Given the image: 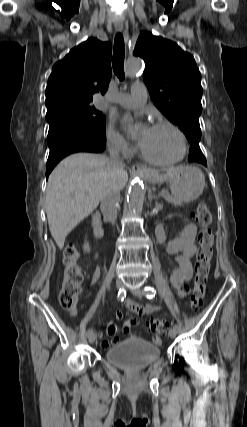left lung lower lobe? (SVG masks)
I'll return each instance as SVG.
<instances>
[{
	"label": "left lung lower lobe",
	"mask_w": 247,
	"mask_h": 427,
	"mask_svg": "<svg viewBox=\"0 0 247 427\" xmlns=\"http://www.w3.org/2000/svg\"><path fill=\"white\" fill-rule=\"evenodd\" d=\"M188 160L191 162H198L206 165V159L199 146L192 144Z\"/></svg>",
	"instance_id": "0a47b994"
}]
</instances>
